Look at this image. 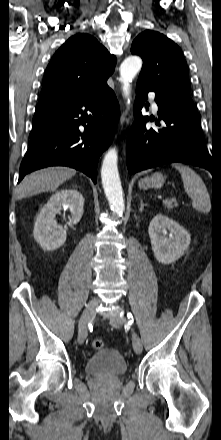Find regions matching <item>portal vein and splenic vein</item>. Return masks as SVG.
<instances>
[{"instance_id":"portal-vein-and-splenic-vein-1","label":"portal vein and splenic vein","mask_w":221,"mask_h":440,"mask_svg":"<svg viewBox=\"0 0 221 440\" xmlns=\"http://www.w3.org/2000/svg\"><path fill=\"white\" fill-rule=\"evenodd\" d=\"M167 201H168V199L165 198V199L163 200V203H166Z\"/></svg>"}]
</instances>
